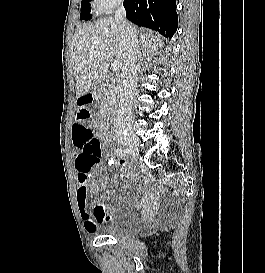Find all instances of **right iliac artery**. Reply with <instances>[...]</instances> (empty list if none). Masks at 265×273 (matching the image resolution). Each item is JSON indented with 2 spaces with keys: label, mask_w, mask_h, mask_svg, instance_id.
<instances>
[{
  "label": "right iliac artery",
  "mask_w": 265,
  "mask_h": 273,
  "mask_svg": "<svg viewBox=\"0 0 265 273\" xmlns=\"http://www.w3.org/2000/svg\"><path fill=\"white\" fill-rule=\"evenodd\" d=\"M115 152H116V155L119 157H126L127 154L129 153V149L128 148H117Z\"/></svg>",
  "instance_id": "1"
}]
</instances>
